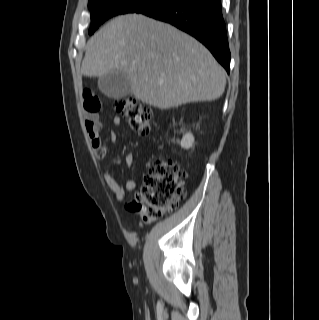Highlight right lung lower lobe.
<instances>
[{
    "mask_svg": "<svg viewBox=\"0 0 319 320\" xmlns=\"http://www.w3.org/2000/svg\"><path fill=\"white\" fill-rule=\"evenodd\" d=\"M137 13L168 22L194 36L229 73L230 50L221 0H164Z\"/></svg>",
    "mask_w": 319,
    "mask_h": 320,
    "instance_id": "98d812e1",
    "label": "right lung lower lobe"
}]
</instances>
